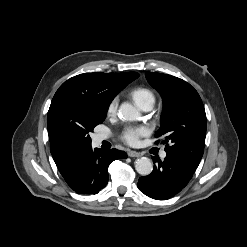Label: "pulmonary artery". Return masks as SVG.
I'll list each match as a JSON object with an SVG mask.
<instances>
[{
    "label": "pulmonary artery",
    "mask_w": 247,
    "mask_h": 247,
    "mask_svg": "<svg viewBox=\"0 0 247 247\" xmlns=\"http://www.w3.org/2000/svg\"><path fill=\"white\" fill-rule=\"evenodd\" d=\"M151 106L150 105H147V106H144L143 108H141L143 111H149V110H151ZM106 137L105 136H103V135H100L99 136V139L100 140H103V139H105ZM166 152L165 151H163L162 153H161V158H165L166 157Z\"/></svg>",
    "instance_id": "e3ab8cb5"
}]
</instances>
